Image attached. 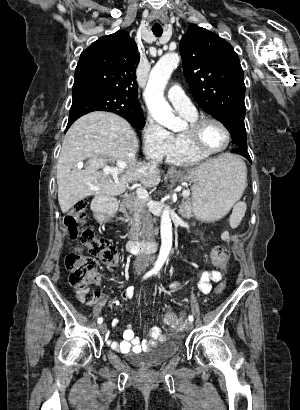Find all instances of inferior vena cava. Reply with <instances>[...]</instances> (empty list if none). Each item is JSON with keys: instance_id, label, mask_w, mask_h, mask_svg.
Masks as SVG:
<instances>
[{"instance_id": "602c4592", "label": "inferior vena cava", "mask_w": 300, "mask_h": 410, "mask_svg": "<svg viewBox=\"0 0 300 410\" xmlns=\"http://www.w3.org/2000/svg\"><path fill=\"white\" fill-rule=\"evenodd\" d=\"M156 165V164H154ZM142 219V236L148 239L144 240L145 244H154L155 238L153 237V220L152 215L148 211H143L141 214ZM150 256L148 255H138L134 261V267L137 270H144L149 264Z\"/></svg>"}]
</instances>
